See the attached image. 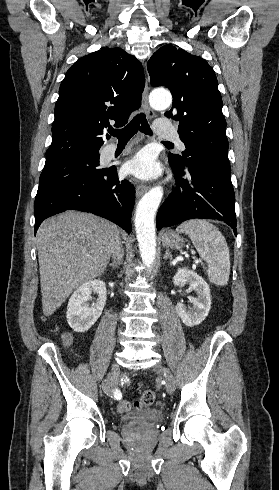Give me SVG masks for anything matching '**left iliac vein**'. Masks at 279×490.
<instances>
[{
  "mask_svg": "<svg viewBox=\"0 0 279 490\" xmlns=\"http://www.w3.org/2000/svg\"><path fill=\"white\" fill-rule=\"evenodd\" d=\"M158 371H159L160 375L166 381L167 392L169 394H172L174 392V387H175V380H174L172 373L168 369L163 368V367L158 368Z\"/></svg>",
  "mask_w": 279,
  "mask_h": 490,
  "instance_id": "left-iliac-vein-1",
  "label": "left iliac vein"
}]
</instances>
